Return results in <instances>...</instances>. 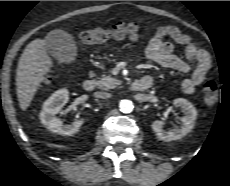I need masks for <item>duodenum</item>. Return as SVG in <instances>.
<instances>
[{
    "label": "duodenum",
    "instance_id": "410a0bca",
    "mask_svg": "<svg viewBox=\"0 0 230 186\" xmlns=\"http://www.w3.org/2000/svg\"><path fill=\"white\" fill-rule=\"evenodd\" d=\"M153 81L150 77H143L138 80H135L131 84V89L134 91H145L151 87ZM83 89L87 92L94 90L96 83L92 79H87L83 82Z\"/></svg>",
    "mask_w": 230,
    "mask_h": 186
}]
</instances>
